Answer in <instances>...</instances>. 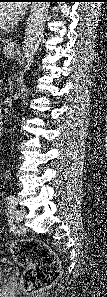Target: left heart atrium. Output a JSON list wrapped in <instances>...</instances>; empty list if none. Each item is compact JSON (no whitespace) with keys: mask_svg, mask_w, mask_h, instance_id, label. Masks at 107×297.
Returning a JSON list of instances; mask_svg holds the SVG:
<instances>
[{"mask_svg":"<svg viewBox=\"0 0 107 297\" xmlns=\"http://www.w3.org/2000/svg\"><path fill=\"white\" fill-rule=\"evenodd\" d=\"M24 13V6L22 4L11 5L9 9L10 21H17Z\"/></svg>","mask_w":107,"mask_h":297,"instance_id":"left-heart-atrium-1","label":"left heart atrium"}]
</instances>
